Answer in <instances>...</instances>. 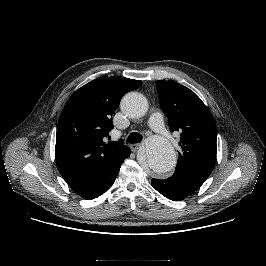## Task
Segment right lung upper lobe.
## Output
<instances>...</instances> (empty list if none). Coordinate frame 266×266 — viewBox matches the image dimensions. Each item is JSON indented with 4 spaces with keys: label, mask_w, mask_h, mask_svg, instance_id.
I'll return each instance as SVG.
<instances>
[{
    "label": "right lung upper lobe",
    "mask_w": 266,
    "mask_h": 266,
    "mask_svg": "<svg viewBox=\"0 0 266 266\" xmlns=\"http://www.w3.org/2000/svg\"><path fill=\"white\" fill-rule=\"evenodd\" d=\"M141 83L125 77H100L68 99L59 117L55 148L58 171L67 183L118 162L130 149L123 141L105 143V139L122 96Z\"/></svg>",
    "instance_id": "cb5924a9"
}]
</instances>
